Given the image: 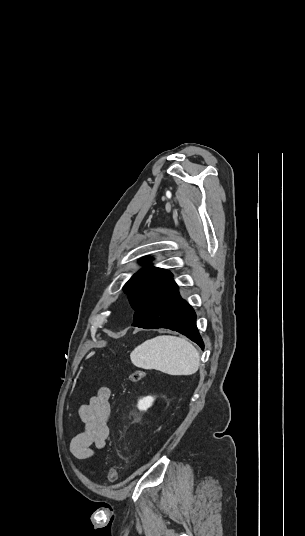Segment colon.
Listing matches in <instances>:
<instances>
[{
	"label": "colon",
	"mask_w": 305,
	"mask_h": 536,
	"mask_svg": "<svg viewBox=\"0 0 305 536\" xmlns=\"http://www.w3.org/2000/svg\"><path fill=\"white\" fill-rule=\"evenodd\" d=\"M143 378V371L141 369H135L129 374V380L132 383H137L141 381ZM108 478L111 482L117 481L118 478V472L115 466H110L108 470Z\"/></svg>",
	"instance_id": "1"
}]
</instances>
